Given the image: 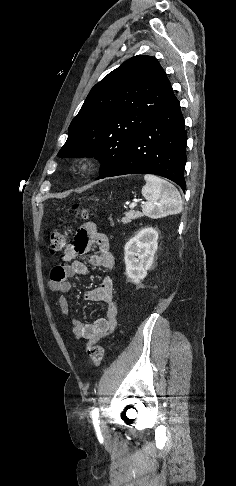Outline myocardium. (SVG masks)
<instances>
[{
  "mask_svg": "<svg viewBox=\"0 0 236 486\" xmlns=\"http://www.w3.org/2000/svg\"><path fill=\"white\" fill-rule=\"evenodd\" d=\"M95 166V160L89 156L79 157L73 164L72 171L76 175H84Z\"/></svg>",
  "mask_w": 236,
  "mask_h": 486,
  "instance_id": "1",
  "label": "myocardium"
}]
</instances>
